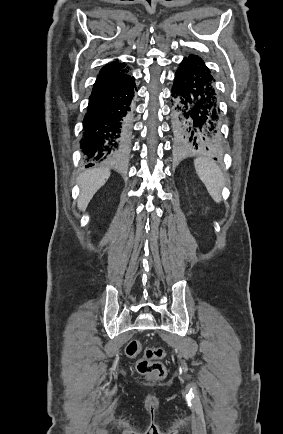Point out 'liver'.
I'll list each match as a JSON object with an SVG mask.
<instances>
[{"mask_svg": "<svg viewBox=\"0 0 283 434\" xmlns=\"http://www.w3.org/2000/svg\"><path fill=\"white\" fill-rule=\"evenodd\" d=\"M110 177V170L107 168H95L85 171L78 178L81 186V193L78 198V208L84 211L94 194L106 183Z\"/></svg>", "mask_w": 283, "mask_h": 434, "instance_id": "1", "label": "liver"}]
</instances>
